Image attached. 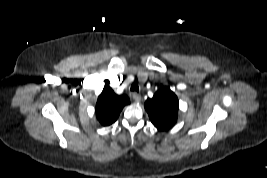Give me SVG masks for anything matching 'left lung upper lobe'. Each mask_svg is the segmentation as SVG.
Here are the masks:
<instances>
[{"mask_svg": "<svg viewBox=\"0 0 267 178\" xmlns=\"http://www.w3.org/2000/svg\"><path fill=\"white\" fill-rule=\"evenodd\" d=\"M179 101L169 87L158 90L153 98L145 102V109L153 125L163 131L171 128L177 121Z\"/></svg>", "mask_w": 267, "mask_h": 178, "instance_id": "1", "label": "left lung upper lobe"}]
</instances>
